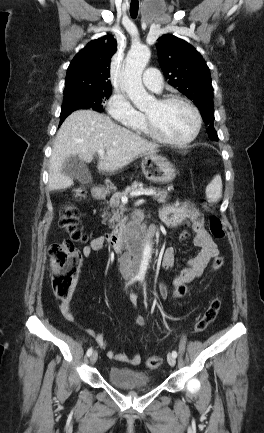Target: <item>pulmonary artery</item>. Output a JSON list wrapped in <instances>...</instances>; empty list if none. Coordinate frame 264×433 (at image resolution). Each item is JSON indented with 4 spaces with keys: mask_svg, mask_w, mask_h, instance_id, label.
I'll use <instances>...</instances> for the list:
<instances>
[{
    "mask_svg": "<svg viewBox=\"0 0 264 433\" xmlns=\"http://www.w3.org/2000/svg\"><path fill=\"white\" fill-rule=\"evenodd\" d=\"M144 85L153 92L159 93L162 90L163 82L158 69L149 68L143 77Z\"/></svg>",
    "mask_w": 264,
    "mask_h": 433,
    "instance_id": "e3ab8cb5",
    "label": "pulmonary artery"
}]
</instances>
